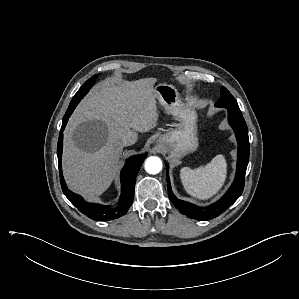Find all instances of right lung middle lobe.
<instances>
[{
    "label": "right lung middle lobe",
    "instance_id": "1",
    "mask_svg": "<svg viewBox=\"0 0 299 299\" xmlns=\"http://www.w3.org/2000/svg\"><path fill=\"white\" fill-rule=\"evenodd\" d=\"M97 78V75L92 76L89 80L86 81V83L79 89V91L75 94L73 99L71 100V103L80 102V100L87 94V92L90 90V88L93 86V83L95 79Z\"/></svg>",
    "mask_w": 299,
    "mask_h": 299
}]
</instances>
